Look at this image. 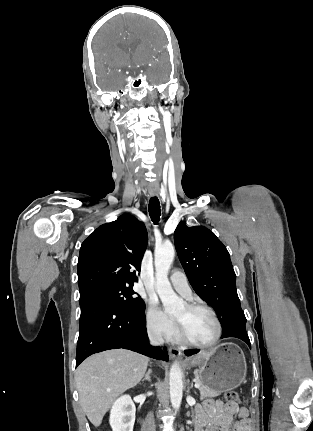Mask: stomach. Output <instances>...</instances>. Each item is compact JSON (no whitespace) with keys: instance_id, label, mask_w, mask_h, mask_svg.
<instances>
[{"instance_id":"0dacf381","label":"stomach","mask_w":313,"mask_h":431,"mask_svg":"<svg viewBox=\"0 0 313 431\" xmlns=\"http://www.w3.org/2000/svg\"><path fill=\"white\" fill-rule=\"evenodd\" d=\"M186 365L196 367L201 382L218 392H226L240 386L246 377L245 356L234 343H223L216 348L200 352L187 359Z\"/></svg>"}]
</instances>
